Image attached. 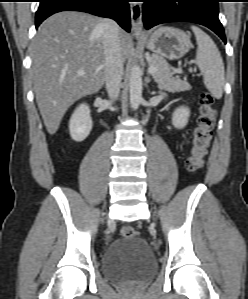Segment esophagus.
Wrapping results in <instances>:
<instances>
[{
    "mask_svg": "<svg viewBox=\"0 0 248 299\" xmlns=\"http://www.w3.org/2000/svg\"><path fill=\"white\" fill-rule=\"evenodd\" d=\"M132 32L135 37L143 35L142 8L139 2L130 3Z\"/></svg>",
    "mask_w": 248,
    "mask_h": 299,
    "instance_id": "obj_1",
    "label": "esophagus"
}]
</instances>
